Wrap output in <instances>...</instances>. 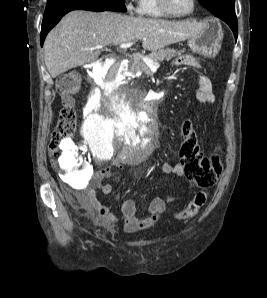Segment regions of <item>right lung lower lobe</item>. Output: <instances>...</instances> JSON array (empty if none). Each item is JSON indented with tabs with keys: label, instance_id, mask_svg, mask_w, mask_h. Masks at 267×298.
<instances>
[{
	"label": "right lung lower lobe",
	"instance_id": "98d812e1",
	"mask_svg": "<svg viewBox=\"0 0 267 298\" xmlns=\"http://www.w3.org/2000/svg\"><path fill=\"white\" fill-rule=\"evenodd\" d=\"M72 10H90L95 12H101L109 9L100 7L93 3L81 1L72 2L60 7L59 9L55 10L51 15L43 18L41 29V45H43L45 37L47 33L51 30V28H53L66 13Z\"/></svg>",
	"mask_w": 267,
	"mask_h": 298
}]
</instances>
